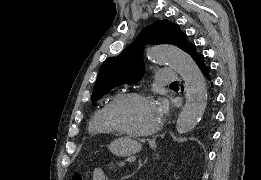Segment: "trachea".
<instances>
[{
    "label": "trachea",
    "mask_w": 261,
    "mask_h": 180,
    "mask_svg": "<svg viewBox=\"0 0 261 180\" xmlns=\"http://www.w3.org/2000/svg\"><path fill=\"white\" fill-rule=\"evenodd\" d=\"M177 82H172V84H176Z\"/></svg>",
    "instance_id": "trachea-1"
}]
</instances>
